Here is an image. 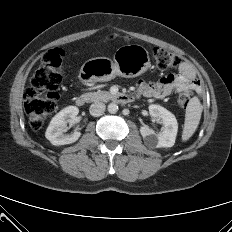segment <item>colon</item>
<instances>
[{"mask_svg":"<svg viewBox=\"0 0 232 232\" xmlns=\"http://www.w3.org/2000/svg\"><path fill=\"white\" fill-rule=\"evenodd\" d=\"M152 55L159 69L166 70L179 64V58L164 48L154 47ZM62 59L63 52L60 49L50 50L33 74L31 87L25 93L24 109L34 130L40 129L55 111L58 90L62 82ZM191 98V89L184 88L180 90L177 100L181 107H186Z\"/></svg>","mask_w":232,"mask_h":232,"instance_id":"5ec220e1","label":"colon"}]
</instances>
